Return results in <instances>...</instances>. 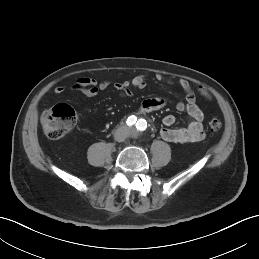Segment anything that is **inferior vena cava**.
<instances>
[{"instance_id": "602c4592", "label": "inferior vena cava", "mask_w": 259, "mask_h": 259, "mask_svg": "<svg viewBox=\"0 0 259 259\" xmlns=\"http://www.w3.org/2000/svg\"><path fill=\"white\" fill-rule=\"evenodd\" d=\"M114 138L116 141L122 142V141H124L125 136L123 134H121L120 132H116L114 135Z\"/></svg>"}]
</instances>
